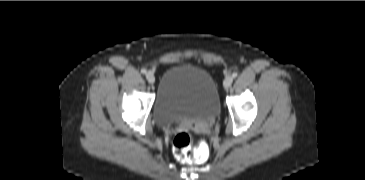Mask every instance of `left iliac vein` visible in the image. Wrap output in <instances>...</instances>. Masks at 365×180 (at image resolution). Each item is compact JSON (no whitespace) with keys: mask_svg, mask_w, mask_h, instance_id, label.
Listing matches in <instances>:
<instances>
[{"mask_svg":"<svg viewBox=\"0 0 365 180\" xmlns=\"http://www.w3.org/2000/svg\"><path fill=\"white\" fill-rule=\"evenodd\" d=\"M232 82H233V78L231 76H227L224 79L223 85L227 89V88H229L231 86Z\"/></svg>","mask_w":365,"mask_h":180,"instance_id":"obj_1","label":"left iliac vein"}]
</instances>
